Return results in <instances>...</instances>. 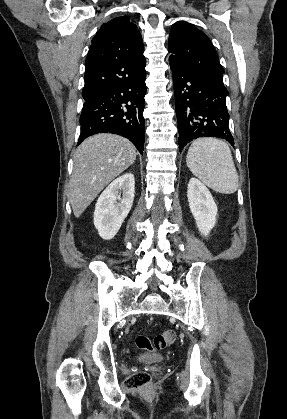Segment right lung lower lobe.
Instances as JSON below:
<instances>
[{"instance_id": "obj_1", "label": "right lung lower lobe", "mask_w": 287, "mask_h": 419, "mask_svg": "<svg viewBox=\"0 0 287 419\" xmlns=\"http://www.w3.org/2000/svg\"><path fill=\"white\" fill-rule=\"evenodd\" d=\"M145 78L146 72L85 101L78 145L93 134L113 133L128 138L143 154Z\"/></svg>"}]
</instances>
